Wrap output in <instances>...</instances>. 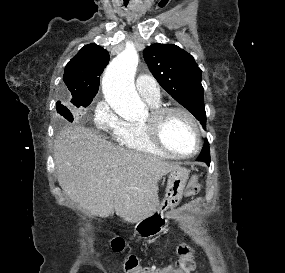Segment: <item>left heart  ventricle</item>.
I'll return each mask as SVG.
<instances>
[{
    "instance_id": "left-heart-ventricle-1",
    "label": "left heart ventricle",
    "mask_w": 285,
    "mask_h": 273,
    "mask_svg": "<svg viewBox=\"0 0 285 273\" xmlns=\"http://www.w3.org/2000/svg\"><path fill=\"white\" fill-rule=\"evenodd\" d=\"M150 115L145 121H148ZM161 137L165 145L180 154L191 153L196 145V134L193 124L180 113L167 115L161 124Z\"/></svg>"
}]
</instances>
